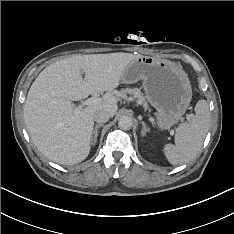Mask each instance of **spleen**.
I'll use <instances>...</instances> for the list:
<instances>
[{
  "label": "spleen",
  "mask_w": 234,
  "mask_h": 234,
  "mask_svg": "<svg viewBox=\"0 0 234 234\" xmlns=\"http://www.w3.org/2000/svg\"><path fill=\"white\" fill-rule=\"evenodd\" d=\"M210 111L205 100L195 105V115L187 123L178 126L175 133V145L166 144L163 152L172 165L188 163L200 151L210 125Z\"/></svg>",
  "instance_id": "obj_1"
}]
</instances>
